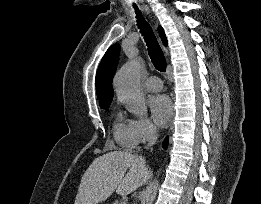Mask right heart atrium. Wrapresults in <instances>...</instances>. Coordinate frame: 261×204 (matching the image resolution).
<instances>
[{
  "label": "right heart atrium",
  "mask_w": 261,
  "mask_h": 204,
  "mask_svg": "<svg viewBox=\"0 0 261 204\" xmlns=\"http://www.w3.org/2000/svg\"><path fill=\"white\" fill-rule=\"evenodd\" d=\"M130 132L133 146L153 140L157 130L154 124L146 117L130 120Z\"/></svg>",
  "instance_id": "right-heart-atrium-1"
}]
</instances>
